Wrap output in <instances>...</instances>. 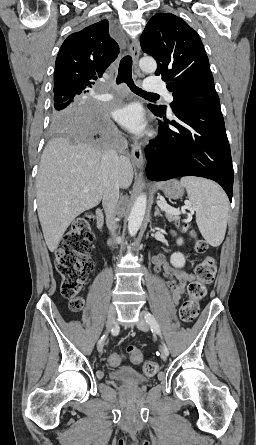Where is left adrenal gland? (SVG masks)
Here are the masks:
<instances>
[{"label":"left adrenal gland","mask_w":256,"mask_h":445,"mask_svg":"<svg viewBox=\"0 0 256 445\" xmlns=\"http://www.w3.org/2000/svg\"><path fill=\"white\" fill-rule=\"evenodd\" d=\"M157 215H159V216L162 217V214H161L159 208H158V207H155V213H154V216H157Z\"/></svg>","instance_id":"left-adrenal-gland-1"}]
</instances>
